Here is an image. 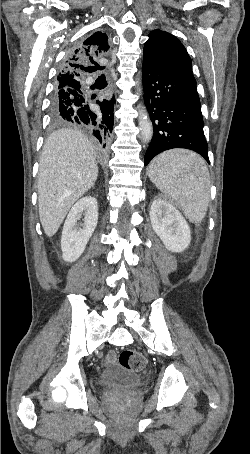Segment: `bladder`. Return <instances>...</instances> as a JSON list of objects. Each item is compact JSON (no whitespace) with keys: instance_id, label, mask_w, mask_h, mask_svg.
<instances>
[{"instance_id":"bladder-1","label":"bladder","mask_w":250,"mask_h":454,"mask_svg":"<svg viewBox=\"0 0 250 454\" xmlns=\"http://www.w3.org/2000/svg\"><path fill=\"white\" fill-rule=\"evenodd\" d=\"M142 381V374L131 372L121 364H112L105 367L96 378L98 387L114 390L136 388Z\"/></svg>"}]
</instances>
